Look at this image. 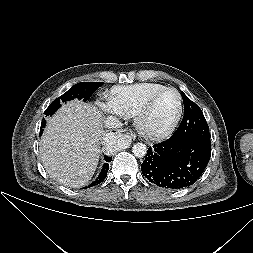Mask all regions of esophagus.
Here are the masks:
<instances>
[{
    "label": "esophagus",
    "mask_w": 253,
    "mask_h": 253,
    "mask_svg": "<svg viewBox=\"0 0 253 253\" xmlns=\"http://www.w3.org/2000/svg\"><path fill=\"white\" fill-rule=\"evenodd\" d=\"M116 134L122 135V136H126V137H128V138H131V137H132V134L126 132L125 130H121V129H120V130H117V131H116Z\"/></svg>",
    "instance_id": "34e87169"
}]
</instances>
